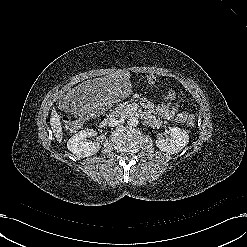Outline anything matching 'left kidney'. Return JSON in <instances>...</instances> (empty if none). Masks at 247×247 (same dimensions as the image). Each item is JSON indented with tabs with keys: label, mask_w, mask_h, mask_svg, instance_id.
<instances>
[{
	"label": "left kidney",
	"mask_w": 247,
	"mask_h": 247,
	"mask_svg": "<svg viewBox=\"0 0 247 247\" xmlns=\"http://www.w3.org/2000/svg\"><path fill=\"white\" fill-rule=\"evenodd\" d=\"M168 136H158L156 146L163 152L175 154L181 151L189 142L188 133L179 127H169Z\"/></svg>",
	"instance_id": "obj_1"
}]
</instances>
